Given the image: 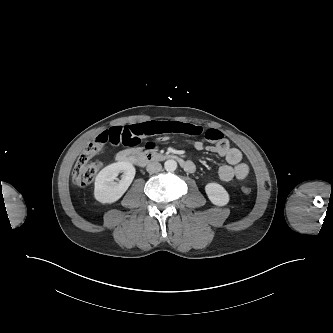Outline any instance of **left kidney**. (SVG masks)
I'll return each instance as SVG.
<instances>
[{
    "instance_id": "1",
    "label": "left kidney",
    "mask_w": 333,
    "mask_h": 333,
    "mask_svg": "<svg viewBox=\"0 0 333 333\" xmlns=\"http://www.w3.org/2000/svg\"><path fill=\"white\" fill-rule=\"evenodd\" d=\"M209 200L217 206H225L229 202V194L225 188L218 183H208L205 186Z\"/></svg>"
}]
</instances>
